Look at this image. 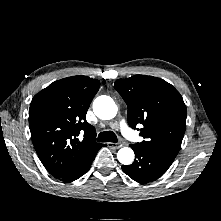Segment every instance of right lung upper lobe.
<instances>
[{"instance_id":"obj_1","label":"right lung upper lobe","mask_w":221,"mask_h":221,"mask_svg":"<svg viewBox=\"0 0 221 221\" xmlns=\"http://www.w3.org/2000/svg\"><path fill=\"white\" fill-rule=\"evenodd\" d=\"M99 87V80L72 76L53 82L32 99V142L52 176L60 178L73 172L103 146L96 142L95 128L85 119Z\"/></svg>"}]
</instances>
